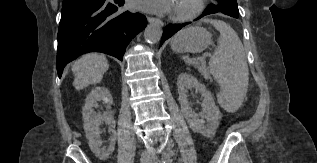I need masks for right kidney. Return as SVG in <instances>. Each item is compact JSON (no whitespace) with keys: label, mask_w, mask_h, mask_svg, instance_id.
Returning <instances> with one entry per match:
<instances>
[{"label":"right kidney","mask_w":317,"mask_h":163,"mask_svg":"<svg viewBox=\"0 0 317 163\" xmlns=\"http://www.w3.org/2000/svg\"><path fill=\"white\" fill-rule=\"evenodd\" d=\"M103 101L108 106L112 104V96L107 88L95 87L85 100L82 115L84 119V130L86 137L89 141V147L91 151L100 160H105L113 153L115 149L116 133H115V120L112 112L109 110L103 113L94 112V108L97 107L98 101ZM105 123L111 128L112 136L108 147L100 148L101 140L98 131V127Z\"/></svg>","instance_id":"right-kidney-1"}]
</instances>
